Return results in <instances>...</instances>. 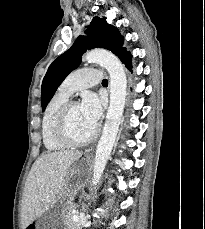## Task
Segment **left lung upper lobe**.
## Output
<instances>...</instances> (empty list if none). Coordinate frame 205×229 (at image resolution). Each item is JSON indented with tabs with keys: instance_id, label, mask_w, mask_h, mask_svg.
I'll use <instances>...</instances> for the list:
<instances>
[{
	"instance_id": "5c2ea615",
	"label": "left lung upper lobe",
	"mask_w": 205,
	"mask_h": 229,
	"mask_svg": "<svg viewBox=\"0 0 205 229\" xmlns=\"http://www.w3.org/2000/svg\"><path fill=\"white\" fill-rule=\"evenodd\" d=\"M85 33L87 36L80 35L72 47L49 66L41 87L42 110H45L67 75L79 66L81 57L87 49L104 48L112 51L116 56L124 49L122 48L123 36L116 27L106 22L105 17H94Z\"/></svg>"
}]
</instances>
